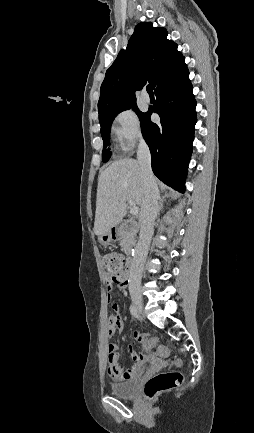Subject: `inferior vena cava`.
I'll return each instance as SVG.
<instances>
[{"label":"inferior vena cava","mask_w":254,"mask_h":433,"mask_svg":"<svg viewBox=\"0 0 254 433\" xmlns=\"http://www.w3.org/2000/svg\"><path fill=\"white\" fill-rule=\"evenodd\" d=\"M137 159L144 179L145 197L139 214V240L130 266V290L139 288L141 285L142 272L153 235V222L158 213V194L151 169V154L143 139L139 141Z\"/></svg>","instance_id":"inferior-vena-cava-1"}]
</instances>
